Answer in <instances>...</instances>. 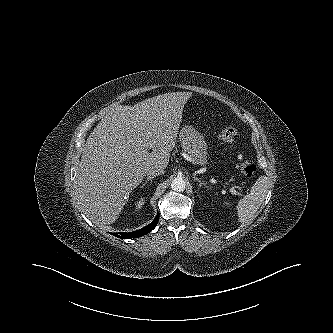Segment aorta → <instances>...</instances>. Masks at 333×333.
Instances as JSON below:
<instances>
[{
    "mask_svg": "<svg viewBox=\"0 0 333 333\" xmlns=\"http://www.w3.org/2000/svg\"><path fill=\"white\" fill-rule=\"evenodd\" d=\"M186 183L182 178H175L171 183V189L176 192H182L185 190Z\"/></svg>",
    "mask_w": 333,
    "mask_h": 333,
    "instance_id": "1",
    "label": "aorta"
}]
</instances>
